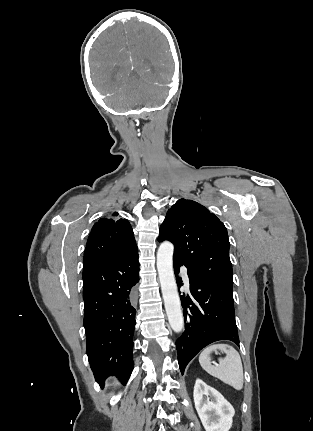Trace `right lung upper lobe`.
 <instances>
[{
	"instance_id": "right-lung-upper-lobe-1",
	"label": "right lung upper lobe",
	"mask_w": 313,
	"mask_h": 431,
	"mask_svg": "<svg viewBox=\"0 0 313 431\" xmlns=\"http://www.w3.org/2000/svg\"><path fill=\"white\" fill-rule=\"evenodd\" d=\"M117 216L114 212L94 224L85 248L84 265L116 259L137 249L130 223Z\"/></svg>"
}]
</instances>
